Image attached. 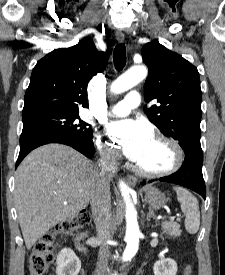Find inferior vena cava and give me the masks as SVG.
Listing matches in <instances>:
<instances>
[{"label": "inferior vena cava", "instance_id": "602c4592", "mask_svg": "<svg viewBox=\"0 0 225 275\" xmlns=\"http://www.w3.org/2000/svg\"><path fill=\"white\" fill-rule=\"evenodd\" d=\"M117 157L118 154L113 150L106 149L102 152L99 160L97 180L91 196L92 215L97 230V237L101 242L96 269L97 275H104L107 269V241L112 239L110 179L117 164Z\"/></svg>", "mask_w": 225, "mask_h": 275}]
</instances>
